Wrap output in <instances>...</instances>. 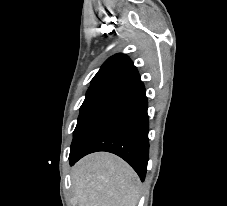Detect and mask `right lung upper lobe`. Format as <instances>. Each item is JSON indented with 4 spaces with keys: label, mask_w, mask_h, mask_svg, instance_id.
I'll list each match as a JSON object with an SVG mask.
<instances>
[{
    "label": "right lung upper lobe",
    "mask_w": 227,
    "mask_h": 206,
    "mask_svg": "<svg viewBox=\"0 0 227 206\" xmlns=\"http://www.w3.org/2000/svg\"><path fill=\"white\" fill-rule=\"evenodd\" d=\"M140 80V76L133 62L125 54H116L111 56L100 68L91 81V84H97L108 81H119L125 83H134Z\"/></svg>",
    "instance_id": "right-lung-upper-lobe-1"
}]
</instances>
